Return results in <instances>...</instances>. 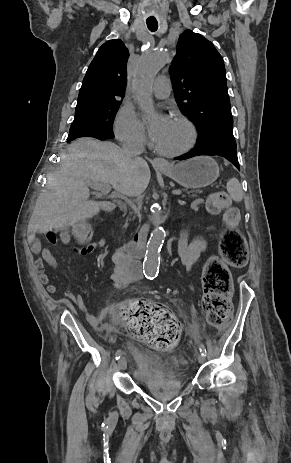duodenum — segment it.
<instances>
[{
    "label": "duodenum",
    "instance_id": "obj_1",
    "mask_svg": "<svg viewBox=\"0 0 291 463\" xmlns=\"http://www.w3.org/2000/svg\"><path fill=\"white\" fill-rule=\"evenodd\" d=\"M104 210L106 212H110L111 214H114L116 212V209L113 207L111 203H106L104 205ZM147 233L148 229L142 228L140 232H138L130 241L117 248L116 251L124 252L138 261V259H141L144 254V243L146 240Z\"/></svg>",
    "mask_w": 291,
    "mask_h": 463
}]
</instances>
